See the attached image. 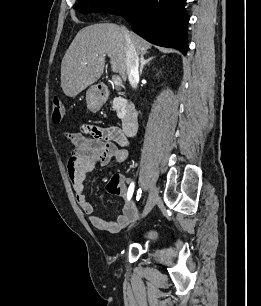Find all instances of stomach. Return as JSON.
<instances>
[{"label":"stomach","instance_id":"obj_1","mask_svg":"<svg viewBox=\"0 0 261 306\" xmlns=\"http://www.w3.org/2000/svg\"><path fill=\"white\" fill-rule=\"evenodd\" d=\"M86 102L88 109L92 112H96L101 108L103 100L101 94L95 86L90 87L86 91Z\"/></svg>","mask_w":261,"mask_h":306}]
</instances>
